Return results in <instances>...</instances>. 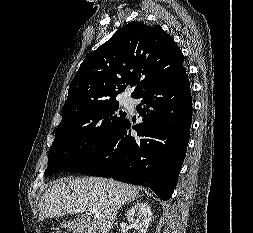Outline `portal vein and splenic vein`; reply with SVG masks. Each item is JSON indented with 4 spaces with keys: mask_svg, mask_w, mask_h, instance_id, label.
<instances>
[{
    "mask_svg": "<svg viewBox=\"0 0 253 233\" xmlns=\"http://www.w3.org/2000/svg\"><path fill=\"white\" fill-rule=\"evenodd\" d=\"M90 214L94 215V216H99V212L96 209H90L89 210Z\"/></svg>",
    "mask_w": 253,
    "mask_h": 233,
    "instance_id": "1",
    "label": "portal vein and splenic vein"
}]
</instances>
